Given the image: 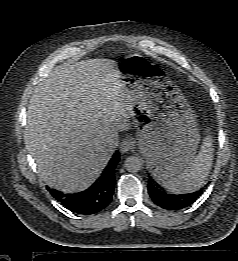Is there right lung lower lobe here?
Returning <instances> with one entry per match:
<instances>
[{"label": "right lung lower lobe", "instance_id": "obj_1", "mask_svg": "<svg viewBox=\"0 0 238 261\" xmlns=\"http://www.w3.org/2000/svg\"><path fill=\"white\" fill-rule=\"evenodd\" d=\"M119 160L116 151L108 166L96 182L85 191L75 194H63L52 190L51 193L61 204L77 214H95L109 205L114 192V168Z\"/></svg>", "mask_w": 238, "mask_h": 261}]
</instances>
